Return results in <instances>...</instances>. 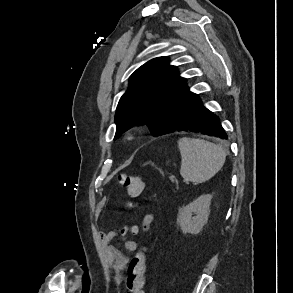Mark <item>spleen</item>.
Instances as JSON below:
<instances>
[{
    "label": "spleen",
    "instance_id": "1",
    "mask_svg": "<svg viewBox=\"0 0 293 293\" xmlns=\"http://www.w3.org/2000/svg\"><path fill=\"white\" fill-rule=\"evenodd\" d=\"M178 147L181 154L180 174L194 184L211 179L225 163L226 151L219 144L183 137L178 141Z\"/></svg>",
    "mask_w": 293,
    "mask_h": 293
}]
</instances>
